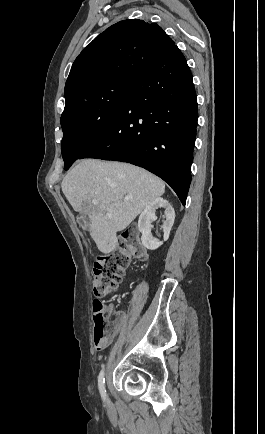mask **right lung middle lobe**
I'll list each match as a JSON object with an SVG mask.
<instances>
[{
	"mask_svg": "<svg viewBox=\"0 0 265 434\" xmlns=\"http://www.w3.org/2000/svg\"><path fill=\"white\" fill-rule=\"evenodd\" d=\"M135 76L112 75L65 92L61 115L64 169L88 150L118 116Z\"/></svg>",
	"mask_w": 265,
	"mask_h": 434,
	"instance_id": "right-lung-middle-lobe-1",
	"label": "right lung middle lobe"
}]
</instances>
